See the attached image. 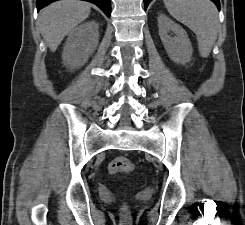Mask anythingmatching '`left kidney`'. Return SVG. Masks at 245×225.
<instances>
[{"label": "left kidney", "instance_id": "left-kidney-1", "mask_svg": "<svg viewBox=\"0 0 245 225\" xmlns=\"http://www.w3.org/2000/svg\"><path fill=\"white\" fill-rule=\"evenodd\" d=\"M158 19L159 36L164 44L169 58L175 63L185 64L192 58L193 49L186 31L177 23L160 14ZM176 36L171 37L168 33Z\"/></svg>", "mask_w": 245, "mask_h": 225}]
</instances>
